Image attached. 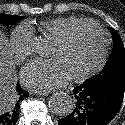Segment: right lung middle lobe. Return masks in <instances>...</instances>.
<instances>
[{
  "label": "right lung middle lobe",
  "instance_id": "right-lung-middle-lobe-1",
  "mask_svg": "<svg viewBox=\"0 0 125 125\" xmlns=\"http://www.w3.org/2000/svg\"><path fill=\"white\" fill-rule=\"evenodd\" d=\"M22 18H23V16L0 13V23L6 24V25L16 23V22L22 20Z\"/></svg>",
  "mask_w": 125,
  "mask_h": 125
}]
</instances>
